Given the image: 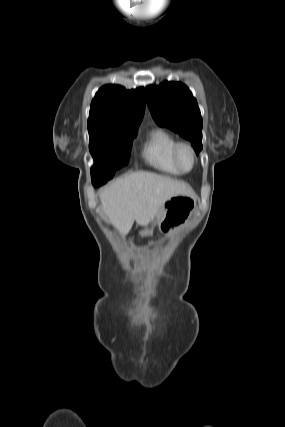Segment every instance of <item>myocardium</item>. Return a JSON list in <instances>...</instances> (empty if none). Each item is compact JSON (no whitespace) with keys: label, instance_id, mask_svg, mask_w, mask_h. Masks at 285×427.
Wrapping results in <instances>:
<instances>
[{"label":"myocardium","instance_id":"obj_1","mask_svg":"<svg viewBox=\"0 0 285 427\" xmlns=\"http://www.w3.org/2000/svg\"><path fill=\"white\" fill-rule=\"evenodd\" d=\"M184 148L188 149L192 155V166L188 170H185L182 168V166L180 164V160H179L180 151ZM172 160H173L174 165L177 167V169L181 173L191 172L195 168L196 163H197V154H196L195 148L188 142H178L173 149Z\"/></svg>","mask_w":285,"mask_h":427}]
</instances>
